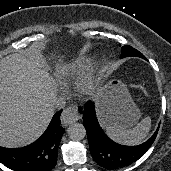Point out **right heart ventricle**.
<instances>
[{
	"label": "right heart ventricle",
	"mask_w": 171,
	"mask_h": 171,
	"mask_svg": "<svg viewBox=\"0 0 171 171\" xmlns=\"http://www.w3.org/2000/svg\"><path fill=\"white\" fill-rule=\"evenodd\" d=\"M92 61L90 58H78L72 63L63 67L60 71L61 80L63 83L69 82L78 78L86 70L90 68Z\"/></svg>",
	"instance_id": "right-heart-ventricle-1"
}]
</instances>
